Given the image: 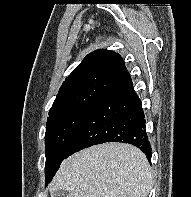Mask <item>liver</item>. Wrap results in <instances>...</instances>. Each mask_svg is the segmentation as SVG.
Returning a JSON list of instances; mask_svg holds the SVG:
<instances>
[{
    "mask_svg": "<svg viewBox=\"0 0 191 197\" xmlns=\"http://www.w3.org/2000/svg\"><path fill=\"white\" fill-rule=\"evenodd\" d=\"M153 184L145 154L125 143H104L64 160L49 185L51 197H147Z\"/></svg>",
    "mask_w": 191,
    "mask_h": 197,
    "instance_id": "6515ba94",
    "label": "liver"
}]
</instances>
